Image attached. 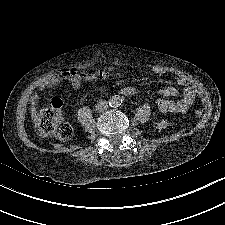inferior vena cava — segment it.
Returning a JSON list of instances; mask_svg holds the SVG:
<instances>
[{
    "label": "inferior vena cava",
    "mask_w": 225,
    "mask_h": 225,
    "mask_svg": "<svg viewBox=\"0 0 225 225\" xmlns=\"http://www.w3.org/2000/svg\"><path fill=\"white\" fill-rule=\"evenodd\" d=\"M107 108H108V102H106V101H100L96 105V111H98V112H104L105 110H107Z\"/></svg>",
    "instance_id": "obj_1"
}]
</instances>
